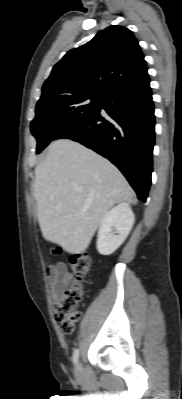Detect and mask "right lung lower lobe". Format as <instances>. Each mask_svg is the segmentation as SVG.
Segmentation results:
<instances>
[{
  "mask_svg": "<svg viewBox=\"0 0 182 399\" xmlns=\"http://www.w3.org/2000/svg\"><path fill=\"white\" fill-rule=\"evenodd\" d=\"M105 110L107 115H103ZM155 116L149 77L124 85L103 96L100 109L83 122L58 133L115 164L140 200L146 201L151 184Z\"/></svg>",
  "mask_w": 182,
  "mask_h": 399,
  "instance_id": "right-lung-lower-lobe-1",
  "label": "right lung lower lobe"
}]
</instances>
